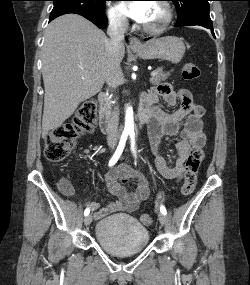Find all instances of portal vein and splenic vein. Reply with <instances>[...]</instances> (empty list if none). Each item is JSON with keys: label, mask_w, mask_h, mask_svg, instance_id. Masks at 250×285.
I'll return each mask as SVG.
<instances>
[{"label": "portal vein and splenic vein", "mask_w": 250, "mask_h": 285, "mask_svg": "<svg viewBox=\"0 0 250 285\" xmlns=\"http://www.w3.org/2000/svg\"><path fill=\"white\" fill-rule=\"evenodd\" d=\"M157 74H158V71H157V70L152 71V72L150 73L151 76H155V75H157Z\"/></svg>", "instance_id": "obj_1"}]
</instances>
